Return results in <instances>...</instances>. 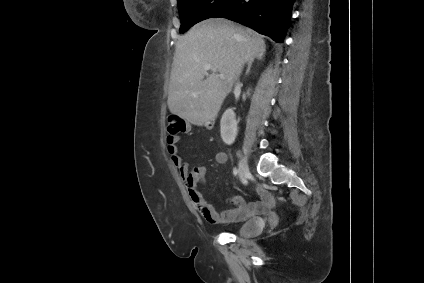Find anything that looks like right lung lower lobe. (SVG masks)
<instances>
[{"label":"right lung lower lobe","mask_w":424,"mask_h":283,"mask_svg":"<svg viewBox=\"0 0 424 283\" xmlns=\"http://www.w3.org/2000/svg\"><path fill=\"white\" fill-rule=\"evenodd\" d=\"M294 0H231L214 18L248 26L281 43L286 34Z\"/></svg>","instance_id":"98d812e1"}]
</instances>
